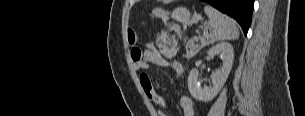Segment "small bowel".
Listing matches in <instances>:
<instances>
[{
    "label": "small bowel",
    "instance_id": "1",
    "mask_svg": "<svg viewBox=\"0 0 305 116\" xmlns=\"http://www.w3.org/2000/svg\"><path fill=\"white\" fill-rule=\"evenodd\" d=\"M131 59L134 69L137 71L146 70L149 68L150 64H154L157 66L171 68L178 74L183 72V67L179 62L166 59L153 43H148L143 52L139 49H133L131 51ZM140 83L145 96L149 100L157 105H160L161 107H168L166 99L156 91L148 75L147 78H142L140 76ZM178 103L182 110L183 116L195 115L193 102L188 96H180ZM159 116H167V114L160 112Z\"/></svg>",
    "mask_w": 305,
    "mask_h": 116
}]
</instances>
